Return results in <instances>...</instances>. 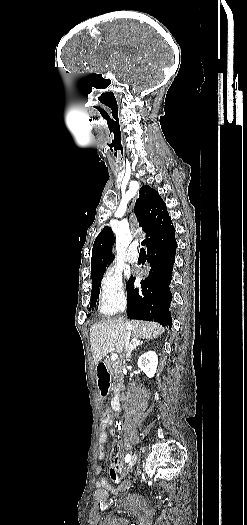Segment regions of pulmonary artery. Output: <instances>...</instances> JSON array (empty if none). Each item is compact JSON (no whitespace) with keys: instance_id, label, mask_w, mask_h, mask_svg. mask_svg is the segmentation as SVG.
Returning a JSON list of instances; mask_svg holds the SVG:
<instances>
[{"instance_id":"e3ab8cb5","label":"pulmonary artery","mask_w":247,"mask_h":525,"mask_svg":"<svg viewBox=\"0 0 247 525\" xmlns=\"http://www.w3.org/2000/svg\"><path fill=\"white\" fill-rule=\"evenodd\" d=\"M126 255H127L126 260L128 262L136 261L138 259V254L135 253V250L133 248H128L126 250Z\"/></svg>"}]
</instances>
